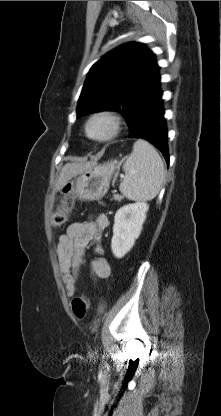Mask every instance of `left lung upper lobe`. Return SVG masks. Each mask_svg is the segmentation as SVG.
I'll return each instance as SVG.
<instances>
[{
  "instance_id": "5c2ea615",
  "label": "left lung upper lobe",
  "mask_w": 221,
  "mask_h": 416,
  "mask_svg": "<svg viewBox=\"0 0 221 416\" xmlns=\"http://www.w3.org/2000/svg\"><path fill=\"white\" fill-rule=\"evenodd\" d=\"M154 54L144 44L127 43L96 62L82 89L77 117L114 110L131 124L138 104L159 83Z\"/></svg>"
}]
</instances>
